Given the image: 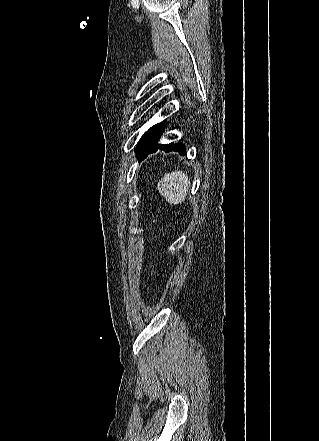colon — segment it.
<instances>
[{"mask_svg": "<svg viewBox=\"0 0 319 441\" xmlns=\"http://www.w3.org/2000/svg\"><path fill=\"white\" fill-rule=\"evenodd\" d=\"M154 265H155V262H154ZM154 265L150 269V272H149L150 277H154L156 275V271H155Z\"/></svg>", "mask_w": 319, "mask_h": 441, "instance_id": "colon-1", "label": "colon"}]
</instances>
